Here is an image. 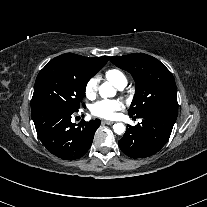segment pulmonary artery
Returning <instances> with one entry per match:
<instances>
[{
	"mask_svg": "<svg viewBox=\"0 0 207 207\" xmlns=\"http://www.w3.org/2000/svg\"><path fill=\"white\" fill-rule=\"evenodd\" d=\"M125 87H126V84H121V85H119L117 88H118L119 90H123Z\"/></svg>",
	"mask_w": 207,
	"mask_h": 207,
	"instance_id": "e3ab8cb5",
	"label": "pulmonary artery"
}]
</instances>
